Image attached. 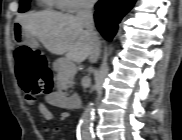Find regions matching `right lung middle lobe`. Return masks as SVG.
I'll list each match as a JSON object with an SVG mask.
<instances>
[{"label": "right lung middle lobe", "mask_w": 182, "mask_h": 140, "mask_svg": "<svg viewBox=\"0 0 182 140\" xmlns=\"http://www.w3.org/2000/svg\"><path fill=\"white\" fill-rule=\"evenodd\" d=\"M29 3H30V0H22V1H20L19 12L27 11L28 8H29Z\"/></svg>", "instance_id": "obj_1"}]
</instances>
